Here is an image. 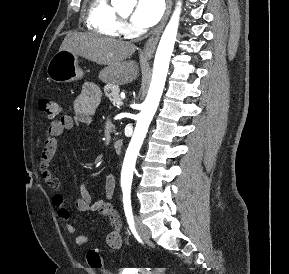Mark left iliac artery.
<instances>
[{"label":"left iliac artery","instance_id":"44dca946","mask_svg":"<svg viewBox=\"0 0 289 274\" xmlns=\"http://www.w3.org/2000/svg\"><path fill=\"white\" fill-rule=\"evenodd\" d=\"M130 188L125 187L123 188V204H124V211L127 218V222L132 232L135 231L134 227V219H133V212L131 206V196H130Z\"/></svg>","mask_w":289,"mask_h":274}]
</instances>
